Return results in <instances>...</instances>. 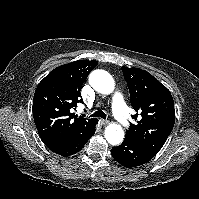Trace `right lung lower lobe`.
<instances>
[{
  "label": "right lung lower lobe",
  "mask_w": 199,
  "mask_h": 199,
  "mask_svg": "<svg viewBox=\"0 0 199 199\" xmlns=\"http://www.w3.org/2000/svg\"><path fill=\"white\" fill-rule=\"evenodd\" d=\"M98 120L90 128L76 138H54L43 143L53 152L61 156H70L80 151L88 139L95 133V126Z\"/></svg>",
  "instance_id": "right-lung-lower-lobe-1"
}]
</instances>
